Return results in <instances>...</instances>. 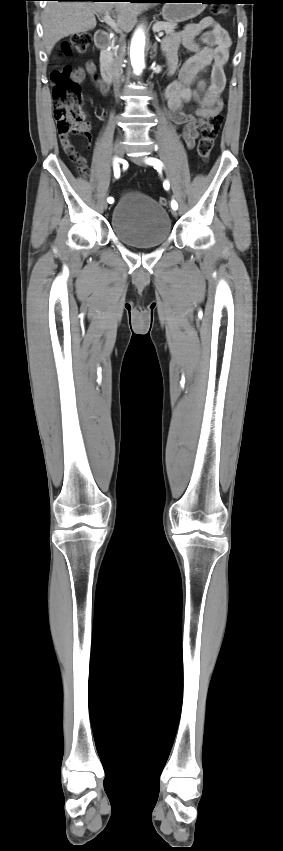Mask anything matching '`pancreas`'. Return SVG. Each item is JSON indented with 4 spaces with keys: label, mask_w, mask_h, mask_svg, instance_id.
<instances>
[{
    "label": "pancreas",
    "mask_w": 283,
    "mask_h": 851,
    "mask_svg": "<svg viewBox=\"0 0 283 851\" xmlns=\"http://www.w3.org/2000/svg\"><path fill=\"white\" fill-rule=\"evenodd\" d=\"M176 27V23L158 21L153 25V30L164 31L167 35H172L175 32ZM117 53L118 50L116 49V47L112 46V50L106 53L107 62L112 63L114 60V56H116Z\"/></svg>",
    "instance_id": "pancreas-1"
}]
</instances>
